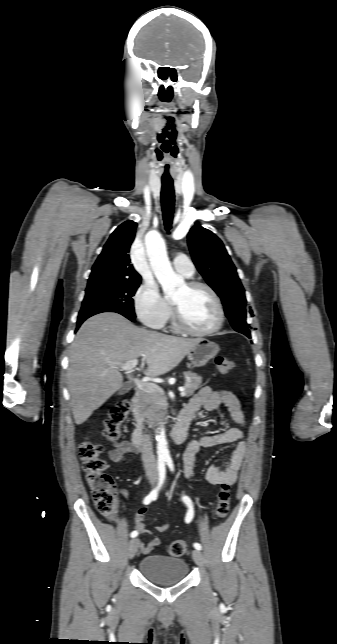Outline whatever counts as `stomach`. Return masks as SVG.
<instances>
[{
  "mask_svg": "<svg viewBox=\"0 0 337 644\" xmlns=\"http://www.w3.org/2000/svg\"><path fill=\"white\" fill-rule=\"evenodd\" d=\"M218 344L205 338H200L196 346L187 354L188 360L194 367H202L219 352Z\"/></svg>",
  "mask_w": 337,
  "mask_h": 644,
  "instance_id": "obj_1",
  "label": "stomach"
}]
</instances>
